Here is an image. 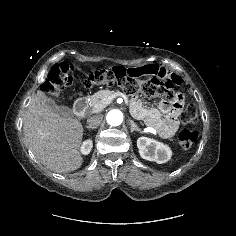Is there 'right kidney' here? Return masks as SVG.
Masks as SVG:
<instances>
[{
  "label": "right kidney",
  "mask_w": 236,
  "mask_h": 236,
  "mask_svg": "<svg viewBox=\"0 0 236 236\" xmlns=\"http://www.w3.org/2000/svg\"><path fill=\"white\" fill-rule=\"evenodd\" d=\"M92 147H93L92 140L89 139V140L84 141L81 146L82 154H85V155L89 154Z\"/></svg>",
  "instance_id": "ca27d5eb"
}]
</instances>
